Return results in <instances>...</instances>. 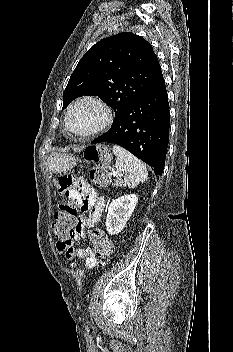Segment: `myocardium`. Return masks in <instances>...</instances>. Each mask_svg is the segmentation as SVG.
<instances>
[{
	"mask_svg": "<svg viewBox=\"0 0 233 352\" xmlns=\"http://www.w3.org/2000/svg\"><path fill=\"white\" fill-rule=\"evenodd\" d=\"M83 103H92L97 105L103 113V117L101 119V121L94 126L92 129L85 131V132H79L76 131L72 125H71V114L73 112V110L83 104ZM113 111L111 109V107L101 98L97 97V96H91V95H87V96H82L80 98H78L77 100H75L71 106L69 107L67 113H66V117H65V125L66 128L68 129L69 132H71L72 134H74L75 136L78 137H82V138H87V137H91L94 135H97L99 133H101L102 131H104L105 129H107L111 123L113 122Z\"/></svg>",
	"mask_w": 233,
	"mask_h": 352,
	"instance_id": "myocardium-1",
	"label": "myocardium"
}]
</instances>
